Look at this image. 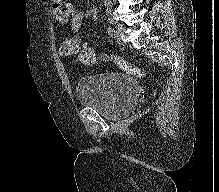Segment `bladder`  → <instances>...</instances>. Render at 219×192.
<instances>
[{
  "mask_svg": "<svg viewBox=\"0 0 219 192\" xmlns=\"http://www.w3.org/2000/svg\"><path fill=\"white\" fill-rule=\"evenodd\" d=\"M76 95L81 106L99 111L108 120H118L134 108L139 87L126 75L107 72L79 79Z\"/></svg>",
  "mask_w": 219,
  "mask_h": 192,
  "instance_id": "obj_1",
  "label": "bladder"
}]
</instances>
